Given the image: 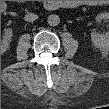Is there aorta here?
<instances>
[{
    "mask_svg": "<svg viewBox=\"0 0 109 109\" xmlns=\"http://www.w3.org/2000/svg\"><path fill=\"white\" fill-rule=\"evenodd\" d=\"M47 22L50 26H57L60 23V18L58 15L51 14L48 16Z\"/></svg>",
    "mask_w": 109,
    "mask_h": 109,
    "instance_id": "762f6f07",
    "label": "aorta"
}]
</instances>
